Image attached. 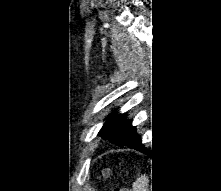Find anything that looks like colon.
<instances>
[{
	"label": "colon",
	"mask_w": 221,
	"mask_h": 191,
	"mask_svg": "<svg viewBox=\"0 0 221 191\" xmlns=\"http://www.w3.org/2000/svg\"><path fill=\"white\" fill-rule=\"evenodd\" d=\"M109 174H110L109 171H105V172H104V176H105V177H108ZM115 191H127V190H124V189H115Z\"/></svg>",
	"instance_id": "colon-1"
}]
</instances>
